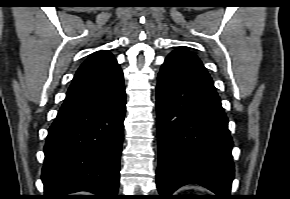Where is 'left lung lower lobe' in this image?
<instances>
[{
	"label": "left lung lower lobe",
	"mask_w": 290,
	"mask_h": 199,
	"mask_svg": "<svg viewBox=\"0 0 290 199\" xmlns=\"http://www.w3.org/2000/svg\"><path fill=\"white\" fill-rule=\"evenodd\" d=\"M157 188L171 199L180 186L196 183L229 199L234 179L233 141L213 80L202 62L177 49L158 74Z\"/></svg>",
	"instance_id": "obj_1"
}]
</instances>
